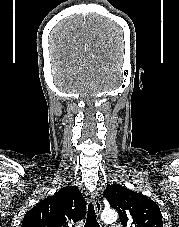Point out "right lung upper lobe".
I'll list each match as a JSON object with an SVG mask.
<instances>
[{"label":"right lung upper lobe","mask_w":179,"mask_h":227,"mask_svg":"<svg viewBox=\"0 0 179 227\" xmlns=\"http://www.w3.org/2000/svg\"><path fill=\"white\" fill-rule=\"evenodd\" d=\"M86 214L84 197L74 186H66L29 210L21 227H74Z\"/></svg>","instance_id":"cb5924a9"}]
</instances>
